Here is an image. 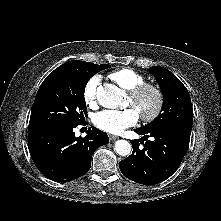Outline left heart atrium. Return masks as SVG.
Masks as SVG:
<instances>
[{
	"instance_id": "1",
	"label": "left heart atrium",
	"mask_w": 221,
	"mask_h": 221,
	"mask_svg": "<svg viewBox=\"0 0 221 221\" xmlns=\"http://www.w3.org/2000/svg\"><path fill=\"white\" fill-rule=\"evenodd\" d=\"M138 119V112L131 107L124 110H103L93 116L92 122L102 131L119 134L124 129L134 126Z\"/></svg>"
}]
</instances>
